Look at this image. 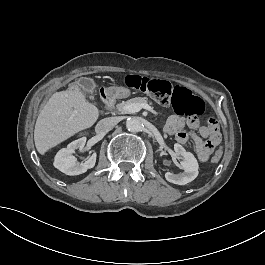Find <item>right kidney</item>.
Returning a JSON list of instances; mask_svg holds the SVG:
<instances>
[{
    "label": "right kidney",
    "instance_id": "right-kidney-1",
    "mask_svg": "<svg viewBox=\"0 0 265 265\" xmlns=\"http://www.w3.org/2000/svg\"><path fill=\"white\" fill-rule=\"evenodd\" d=\"M86 137L79 138L68 144L67 148L59 150L54 158V167L67 175H79L93 168L96 162V153H93L84 163H77L72 154L76 149L83 150Z\"/></svg>",
    "mask_w": 265,
    "mask_h": 265
}]
</instances>
